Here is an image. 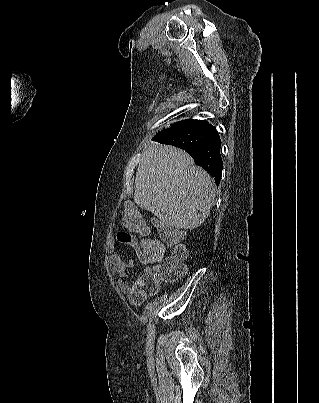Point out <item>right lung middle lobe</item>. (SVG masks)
<instances>
[{
	"instance_id": "right-lung-middle-lobe-1",
	"label": "right lung middle lobe",
	"mask_w": 319,
	"mask_h": 403,
	"mask_svg": "<svg viewBox=\"0 0 319 403\" xmlns=\"http://www.w3.org/2000/svg\"><path fill=\"white\" fill-rule=\"evenodd\" d=\"M195 121H197V120H194V119L183 120V121L172 124L171 127H174V128L184 127L191 123H194Z\"/></svg>"
}]
</instances>
